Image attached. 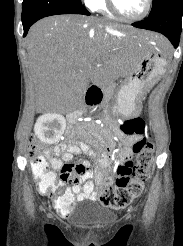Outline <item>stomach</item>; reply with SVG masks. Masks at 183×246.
Listing matches in <instances>:
<instances>
[{"label":"stomach","mask_w":183,"mask_h":246,"mask_svg":"<svg viewBox=\"0 0 183 246\" xmlns=\"http://www.w3.org/2000/svg\"><path fill=\"white\" fill-rule=\"evenodd\" d=\"M137 60L119 90L113 111L124 117L140 113L142 99L152 83L165 72L166 59L159 55L153 42H131Z\"/></svg>","instance_id":"0dacf381"}]
</instances>
